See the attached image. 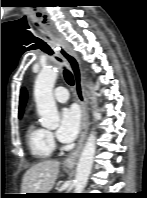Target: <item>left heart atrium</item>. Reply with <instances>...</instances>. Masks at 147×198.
<instances>
[{
  "label": "left heart atrium",
  "instance_id": "1",
  "mask_svg": "<svg viewBox=\"0 0 147 198\" xmlns=\"http://www.w3.org/2000/svg\"><path fill=\"white\" fill-rule=\"evenodd\" d=\"M81 123V116L76 106L65 107L60 113V124L57 137L62 142H71L77 136Z\"/></svg>",
  "mask_w": 147,
  "mask_h": 198
}]
</instances>
